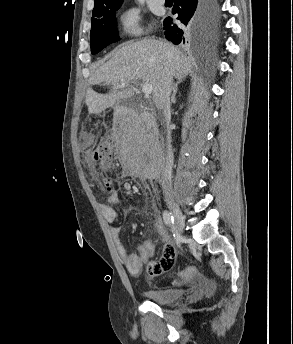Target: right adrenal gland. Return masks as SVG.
Returning a JSON list of instances; mask_svg holds the SVG:
<instances>
[{"label":"right adrenal gland","instance_id":"2a0ac1e0","mask_svg":"<svg viewBox=\"0 0 293 344\" xmlns=\"http://www.w3.org/2000/svg\"><path fill=\"white\" fill-rule=\"evenodd\" d=\"M180 82H177L175 85H174V88H173V94H172V103L175 104L176 103V93H177V89H178V85H179Z\"/></svg>","mask_w":293,"mask_h":344}]
</instances>
